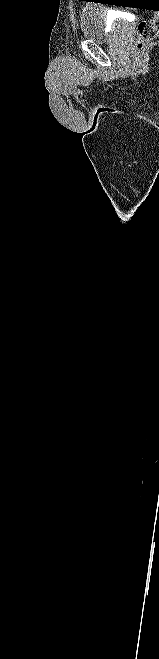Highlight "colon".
<instances>
[{
	"label": "colon",
	"mask_w": 159,
	"mask_h": 659,
	"mask_svg": "<svg viewBox=\"0 0 159 659\" xmlns=\"http://www.w3.org/2000/svg\"><path fill=\"white\" fill-rule=\"evenodd\" d=\"M157 20V17H155L138 23L134 42L135 48H143L148 41H151L159 35Z\"/></svg>",
	"instance_id": "colon-1"
}]
</instances>
